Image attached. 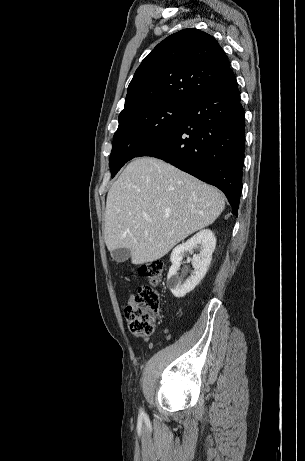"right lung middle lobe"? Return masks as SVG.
Masks as SVG:
<instances>
[{"instance_id": "right-lung-middle-lobe-1", "label": "right lung middle lobe", "mask_w": 305, "mask_h": 461, "mask_svg": "<svg viewBox=\"0 0 305 461\" xmlns=\"http://www.w3.org/2000/svg\"><path fill=\"white\" fill-rule=\"evenodd\" d=\"M189 104L165 102L119 118L109 159L111 176L142 151L170 133L185 117Z\"/></svg>"}]
</instances>
